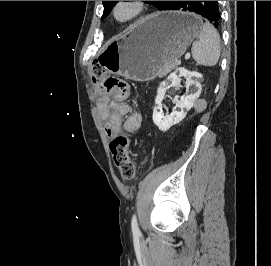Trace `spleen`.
Returning <instances> with one entry per match:
<instances>
[{
  "label": "spleen",
  "mask_w": 271,
  "mask_h": 266,
  "mask_svg": "<svg viewBox=\"0 0 271 266\" xmlns=\"http://www.w3.org/2000/svg\"><path fill=\"white\" fill-rule=\"evenodd\" d=\"M220 36L210 23H204L198 35V40L193 43L192 57L197 64L202 66H215L220 57Z\"/></svg>",
  "instance_id": "1"
}]
</instances>
